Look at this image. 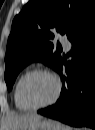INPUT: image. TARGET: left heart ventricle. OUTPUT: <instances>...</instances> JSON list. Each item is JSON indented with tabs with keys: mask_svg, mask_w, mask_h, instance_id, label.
<instances>
[{
	"mask_svg": "<svg viewBox=\"0 0 95 130\" xmlns=\"http://www.w3.org/2000/svg\"><path fill=\"white\" fill-rule=\"evenodd\" d=\"M55 91V83L49 76L37 74L27 81L24 95L30 104L40 105L49 101L55 94Z\"/></svg>",
	"mask_w": 95,
	"mask_h": 130,
	"instance_id": "b2bd125f",
	"label": "left heart ventricle"
}]
</instances>
